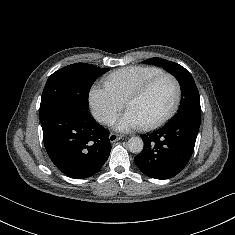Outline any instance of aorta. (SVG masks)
<instances>
[{"label":"aorta","mask_w":235,"mask_h":235,"mask_svg":"<svg viewBox=\"0 0 235 235\" xmlns=\"http://www.w3.org/2000/svg\"><path fill=\"white\" fill-rule=\"evenodd\" d=\"M144 147V142L140 137H131L128 140V148L130 152L138 154L141 153Z\"/></svg>","instance_id":"aorta-1"}]
</instances>
